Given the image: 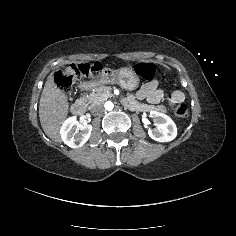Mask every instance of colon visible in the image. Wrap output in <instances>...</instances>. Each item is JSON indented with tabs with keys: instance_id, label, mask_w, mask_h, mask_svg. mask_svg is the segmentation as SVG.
I'll return each mask as SVG.
<instances>
[{
	"instance_id": "1",
	"label": "colon",
	"mask_w": 236,
	"mask_h": 236,
	"mask_svg": "<svg viewBox=\"0 0 236 236\" xmlns=\"http://www.w3.org/2000/svg\"><path fill=\"white\" fill-rule=\"evenodd\" d=\"M136 73L146 80H151L156 76L157 69L153 63H138L135 67ZM101 72V65L98 63L85 65H68L55 74V82L57 86L65 93H70L82 76L97 77ZM176 114L179 117H185L188 114L186 104H180L176 108Z\"/></svg>"
}]
</instances>
